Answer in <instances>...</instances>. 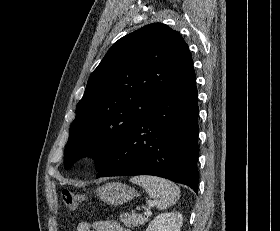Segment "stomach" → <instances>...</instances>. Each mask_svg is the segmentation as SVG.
Returning <instances> with one entry per match:
<instances>
[{
    "label": "stomach",
    "mask_w": 280,
    "mask_h": 231,
    "mask_svg": "<svg viewBox=\"0 0 280 231\" xmlns=\"http://www.w3.org/2000/svg\"><path fill=\"white\" fill-rule=\"evenodd\" d=\"M96 193L101 201H105L109 205H121V203L129 201V199H133L136 195L135 189L125 185V183H118V181L105 183V185L97 187Z\"/></svg>",
    "instance_id": "obj_1"
}]
</instances>
